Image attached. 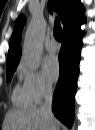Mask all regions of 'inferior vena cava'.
<instances>
[{
  "label": "inferior vena cava",
  "instance_id": "1",
  "mask_svg": "<svg viewBox=\"0 0 95 130\" xmlns=\"http://www.w3.org/2000/svg\"><path fill=\"white\" fill-rule=\"evenodd\" d=\"M52 86L48 85L44 94V103L40 106L39 110L44 113L48 118H53L52 113Z\"/></svg>",
  "mask_w": 95,
  "mask_h": 130
}]
</instances>
